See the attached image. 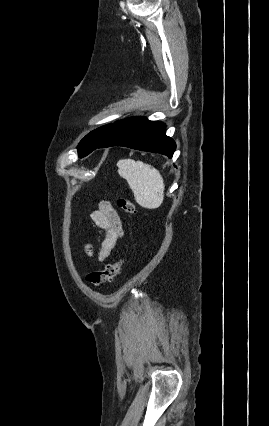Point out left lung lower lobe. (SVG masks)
<instances>
[{
  "label": "left lung lower lobe",
  "instance_id": "left-lung-lower-lobe-1",
  "mask_svg": "<svg viewBox=\"0 0 269 426\" xmlns=\"http://www.w3.org/2000/svg\"><path fill=\"white\" fill-rule=\"evenodd\" d=\"M111 146H124L160 153L169 158L176 149L175 142L165 135V124L149 121L144 117H130L113 123L103 141L96 148Z\"/></svg>",
  "mask_w": 269,
  "mask_h": 426
}]
</instances>
